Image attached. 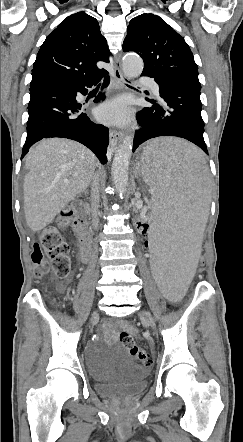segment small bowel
Segmentation results:
<instances>
[{"label":"small bowel","mask_w":243,"mask_h":442,"mask_svg":"<svg viewBox=\"0 0 243 442\" xmlns=\"http://www.w3.org/2000/svg\"><path fill=\"white\" fill-rule=\"evenodd\" d=\"M119 327L124 328H130V326L126 323H120ZM118 334V326L112 325L111 323L107 322L103 326V340L107 342L108 344H112Z\"/></svg>","instance_id":"small-bowel-1"}]
</instances>
